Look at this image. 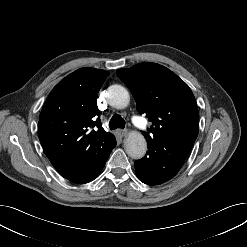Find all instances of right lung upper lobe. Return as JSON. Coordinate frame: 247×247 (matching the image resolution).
I'll return each instance as SVG.
<instances>
[{
    "mask_svg": "<svg viewBox=\"0 0 247 247\" xmlns=\"http://www.w3.org/2000/svg\"><path fill=\"white\" fill-rule=\"evenodd\" d=\"M108 74L78 69L61 80L46 100L39 118V140L59 173L103 154L115 141L98 118L97 94Z\"/></svg>",
    "mask_w": 247,
    "mask_h": 247,
    "instance_id": "cb5924a9",
    "label": "right lung upper lobe"
}]
</instances>
